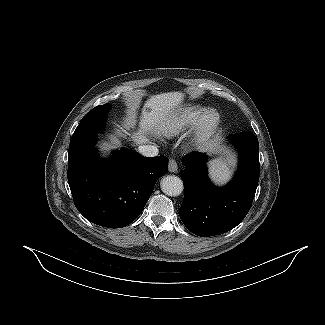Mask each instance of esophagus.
Instances as JSON below:
<instances>
[{
    "mask_svg": "<svg viewBox=\"0 0 325 325\" xmlns=\"http://www.w3.org/2000/svg\"><path fill=\"white\" fill-rule=\"evenodd\" d=\"M168 170L172 173H176L178 171V165L174 159L169 160Z\"/></svg>",
    "mask_w": 325,
    "mask_h": 325,
    "instance_id": "obj_1",
    "label": "esophagus"
}]
</instances>
